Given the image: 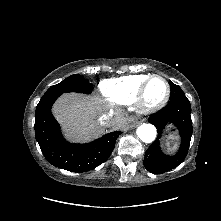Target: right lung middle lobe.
<instances>
[{"label": "right lung middle lobe", "mask_w": 221, "mask_h": 221, "mask_svg": "<svg viewBox=\"0 0 221 221\" xmlns=\"http://www.w3.org/2000/svg\"><path fill=\"white\" fill-rule=\"evenodd\" d=\"M93 89V85L89 83L87 79H84L80 75H72L62 82L51 86L42 98L54 96V95H61L62 93L67 92H78V93H91Z\"/></svg>", "instance_id": "right-lung-middle-lobe-1"}]
</instances>
